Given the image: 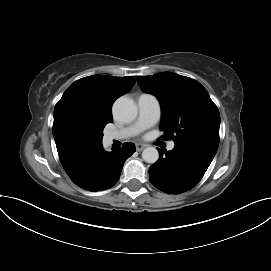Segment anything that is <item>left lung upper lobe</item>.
<instances>
[{
  "label": "left lung upper lobe",
  "mask_w": 271,
  "mask_h": 271,
  "mask_svg": "<svg viewBox=\"0 0 271 271\" xmlns=\"http://www.w3.org/2000/svg\"><path fill=\"white\" fill-rule=\"evenodd\" d=\"M146 93L155 95L162 108L161 138L194 141L218 148L220 114L206 89L196 80L176 73L162 72L138 76Z\"/></svg>",
  "instance_id": "left-lung-upper-lobe-1"
}]
</instances>
